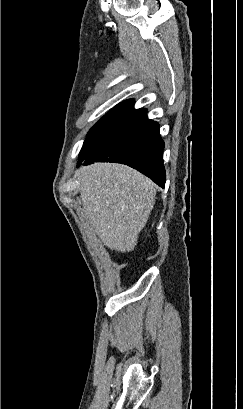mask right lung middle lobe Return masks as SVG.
<instances>
[{
  "instance_id": "obj_1",
  "label": "right lung middle lobe",
  "mask_w": 243,
  "mask_h": 409,
  "mask_svg": "<svg viewBox=\"0 0 243 409\" xmlns=\"http://www.w3.org/2000/svg\"><path fill=\"white\" fill-rule=\"evenodd\" d=\"M121 103L115 106L112 110H110L104 117H102L89 131V135H91L96 129H98L101 125L105 123L120 107Z\"/></svg>"
}]
</instances>
